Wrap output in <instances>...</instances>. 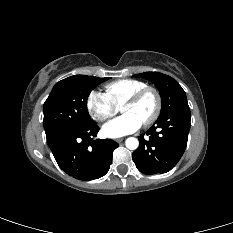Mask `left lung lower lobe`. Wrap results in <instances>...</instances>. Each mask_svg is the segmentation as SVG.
<instances>
[{"label": "left lung lower lobe", "instance_id": "left-lung-lower-lobe-1", "mask_svg": "<svg viewBox=\"0 0 233 233\" xmlns=\"http://www.w3.org/2000/svg\"><path fill=\"white\" fill-rule=\"evenodd\" d=\"M190 108L182 104L160 116L139 138L132 153L138 170L147 175L170 171L182 157L190 130Z\"/></svg>", "mask_w": 233, "mask_h": 233}]
</instances>
